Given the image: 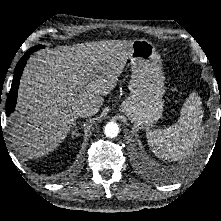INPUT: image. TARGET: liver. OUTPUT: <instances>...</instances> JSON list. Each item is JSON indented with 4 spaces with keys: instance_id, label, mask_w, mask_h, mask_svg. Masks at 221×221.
I'll return each mask as SVG.
<instances>
[{
    "instance_id": "1",
    "label": "liver",
    "mask_w": 221,
    "mask_h": 221,
    "mask_svg": "<svg viewBox=\"0 0 221 221\" xmlns=\"http://www.w3.org/2000/svg\"><path fill=\"white\" fill-rule=\"evenodd\" d=\"M132 43H81L44 49L31 57L11 117L19 152L28 159L52 152L78 118V107L90 104L99 110L123 72Z\"/></svg>"
}]
</instances>
